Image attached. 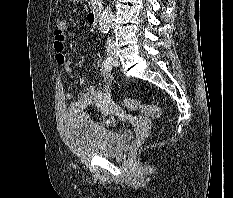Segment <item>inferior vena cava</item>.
I'll list each match as a JSON object with an SVG mask.
<instances>
[{"label": "inferior vena cava", "instance_id": "602c4592", "mask_svg": "<svg viewBox=\"0 0 233 198\" xmlns=\"http://www.w3.org/2000/svg\"><path fill=\"white\" fill-rule=\"evenodd\" d=\"M106 48H107L108 51L114 49V44H113V42L111 41L110 38L107 39Z\"/></svg>", "mask_w": 233, "mask_h": 198}]
</instances>
